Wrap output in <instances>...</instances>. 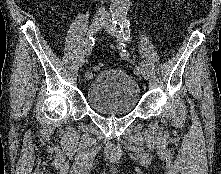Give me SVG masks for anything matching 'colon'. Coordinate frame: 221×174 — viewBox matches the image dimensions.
<instances>
[{
	"label": "colon",
	"instance_id": "colon-1",
	"mask_svg": "<svg viewBox=\"0 0 221 174\" xmlns=\"http://www.w3.org/2000/svg\"><path fill=\"white\" fill-rule=\"evenodd\" d=\"M102 68H103V64L98 63V64L94 65L93 70L94 71H100Z\"/></svg>",
	"mask_w": 221,
	"mask_h": 174
}]
</instances>
